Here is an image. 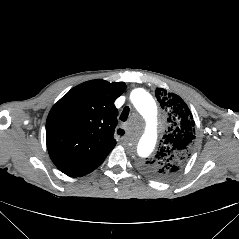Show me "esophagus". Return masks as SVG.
Instances as JSON below:
<instances>
[{"mask_svg":"<svg viewBox=\"0 0 239 239\" xmlns=\"http://www.w3.org/2000/svg\"><path fill=\"white\" fill-rule=\"evenodd\" d=\"M116 136L119 139H124L125 136H126V129L122 126L118 127L117 130H116Z\"/></svg>","mask_w":239,"mask_h":239,"instance_id":"obj_1","label":"esophagus"}]
</instances>
